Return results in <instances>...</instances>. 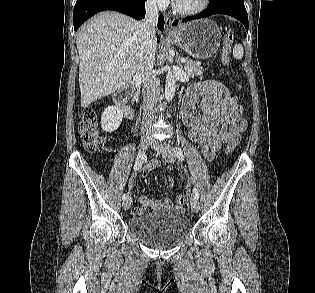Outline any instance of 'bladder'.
Returning <instances> with one entry per match:
<instances>
[{
    "instance_id": "obj_1",
    "label": "bladder",
    "mask_w": 315,
    "mask_h": 293,
    "mask_svg": "<svg viewBox=\"0 0 315 293\" xmlns=\"http://www.w3.org/2000/svg\"><path fill=\"white\" fill-rule=\"evenodd\" d=\"M130 232L153 247H168L181 241L190 230L189 219L176 208H165L132 216Z\"/></svg>"
}]
</instances>
